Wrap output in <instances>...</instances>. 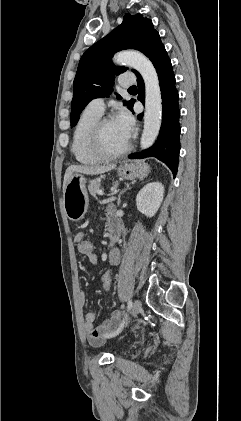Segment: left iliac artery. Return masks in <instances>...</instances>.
<instances>
[{"label":"left iliac artery","instance_id":"44dca946","mask_svg":"<svg viewBox=\"0 0 241 421\" xmlns=\"http://www.w3.org/2000/svg\"><path fill=\"white\" fill-rule=\"evenodd\" d=\"M131 307H132V301L129 299L128 300L127 310H130ZM126 317H127V314L125 315V319H126ZM124 323H125V321L123 320V322L120 324L119 328L115 332H113L110 335H108V337H114L117 334H119L122 331L123 327H124Z\"/></svg>","mask_w":241,"mask_h":421}]
</instances>
